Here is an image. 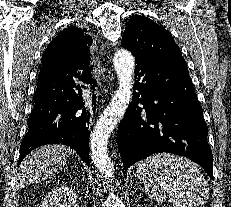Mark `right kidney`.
<instances>
[{
  "label": "right kidney",
  "instance_id": "obj_1",
  "mask_svg": "<svg viewBox=\"0 0 231 207\" xmlns=\"http://www.w3.org/2000/svg\"><path fill=\"white\" fill-rule=\"evenodd\" d=\"M41 207H76V194L68 186L53 189Z\"/></svg>",
  "mask_w": 231,
  "mask_h": 207
}]
</instances>
